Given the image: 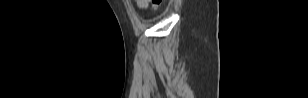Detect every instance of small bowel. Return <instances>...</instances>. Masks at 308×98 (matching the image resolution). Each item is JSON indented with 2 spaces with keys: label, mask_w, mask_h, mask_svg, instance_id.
Listing matches in <instances>:
<instances>
[{
  "label": "small bowel",
  "mask_w": 308,
  "mask_h": 98,
  "mask_svg": "<svg viewBox=\"0 0 308 98\" xmlns=\"http://www.w3.org/2000/svg\"><path fill=\"white\" fill-rule=\"evenodd\" d=\"M138 6L141 7V8H144V7L140 6L139 4H138Z\"/></svg>",
  "instance_id": "1"
}]
</instances>
